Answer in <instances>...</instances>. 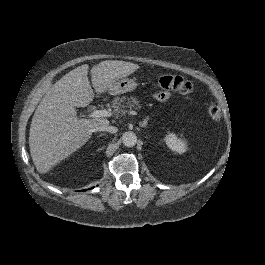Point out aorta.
Instances as JSON below:
<instances>
[{"instance_id":"762f6f07","label":"aorta","mask_w":265,"mask_h":265,"mask_svg":"<svg viewBox=\"0 0 265 265\" xmlns=\"http://www.w3.org/2000/svg\"><path fill=\"white\" fill-rule=\"evenodd\" d=\"M122 141L125 146L128 147L134 146L135 143L137 142V135L132 131L125 132L122 135Z\"/></svg>"}]
</instances>
